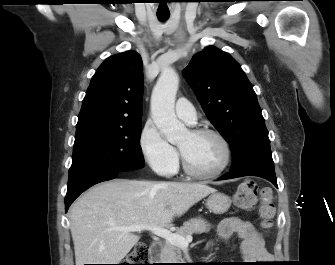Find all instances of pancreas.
<instances>
[{"label":"pancreas","mask_w":335,"mask_h":265,"mask_svg":"<svg viewBox=\"0 0 335 265\" xmlns=\"http://www.w3.org/2000/svg\"><path fill=\"white\" fill-rule=\"evenodd\" d=\"M211 225L202 218H192L184 222L176 234L186 237L193 233L201 234L209 232ZM182 259L181 249L179 246L173 245L168 241L165 242L164 248L161 252V260L163 263H179Z\"/></svg>","instance_id":"obj_1"}]
</instances>
